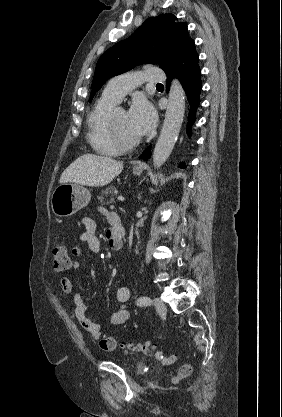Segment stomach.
<instances>
[{
    "label": "stomach",
    "instance_id": "obj_1",
    "mask_svg": "<svg viewBox=\"0 0 282 417\" xmlns=\"http://www.w3.org/2000/svg\"><path fill=\"white\" fill-rule=\"evenodd\" d=\"M142 170V166H133L134 174H141ZM90 196V190L82 184L63 182L52 192V211L57 217H71L83 209V206H87Z\"/></svg>",
    "mask_w": 282,
    "mask_h": 417
}]
</instances>
